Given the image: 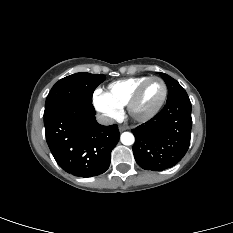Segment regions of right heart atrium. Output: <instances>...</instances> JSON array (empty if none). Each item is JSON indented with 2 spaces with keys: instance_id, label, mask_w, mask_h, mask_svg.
I'll use <instances>...</instances> for the list:
<instances>
[{
  "instance_id": "right-heart-atrium-1",
  "label": "right heart atrium",
  "mask_w": 233,
  "mask_h": 233,
  "mask_svg": "<svg viewBox=\"0 0 233 233\" xmlns=\"http://www.w3.org/2000/svg\"><path fill=\"white\" fill-rule=\"evenodd\" d=\"M93 104L106 120H115L121 116V109L110 103L101 90L95 91Z\"/></svg>"
}]
</instances>
